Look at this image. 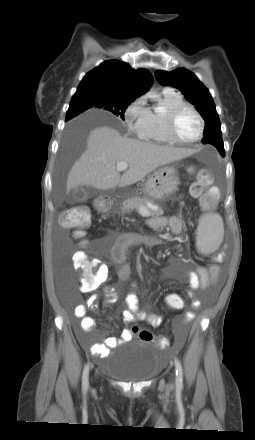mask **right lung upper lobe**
I'll use <instances>...</instances> for the list:
<instances>
[{
  "label": "right lung upper lobe",
  "instance_id": "cb5924a9",
  "mask_svg": "<svg viewBox=\"0 0 255 440\" xmlns=\"http://www.w3.org/2000/svg\"><path fill=\"white\" fill-rule=\"evenodd\" d=\"M152 82L153 78L149 71L134 70L125 62L109 60L88 72L76 93L95 92L133 101L144 94Z\"/></svg>",
  "mask_w": 255,
  "mask_h": 440
}]
</instances>
